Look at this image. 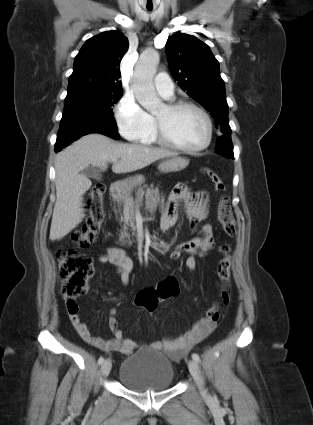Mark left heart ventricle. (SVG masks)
Here are the masks:
<instances>
[{"instance_id":"obj_1","label":"left heart ventricle","mask_w":313,"mask_h":425,"mask_svg":"<svg viewBox=\"0 0 313 425\" xmlns=\"http://www.w3.org/2000/svg\"><path fill=\"white\" fill-rule=\"evenodd\" d=\"M155 117L164 125L168 135L184 147L195 148L206 140V122L202 115L193 109L171 113L164 106Z\"/></svg>"}]
</instances>
